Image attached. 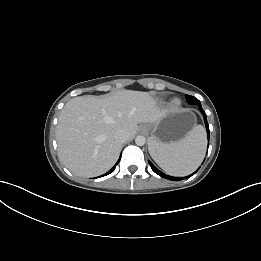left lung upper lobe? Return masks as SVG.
Segmentation results:
<instances>
[{
	"label": "left lung upper lobe",
	"instance_id": "obj_1",
	"mask_svg": "<svg viewBox=\"0 0 261 261\" xmlns=\"http://www.w3.org/2000/svg\"><path fill=\"white\" fill-rule=\"evenodd\" d=\"M186 100L189 104H196V105L201 106L200 101L193 96L186 95Z\"/></svg>",
	"mask_w": 261,
	"mask_h": 261
}]
</instances>
